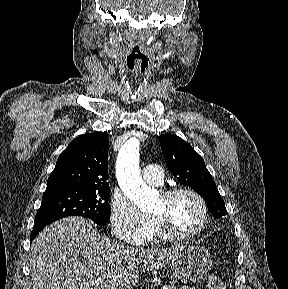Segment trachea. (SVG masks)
I'll return each instance as SVG.
<instances>
[{
    "label": "trachea",
    "instance_id": "obj_1",
    "mask_svg": "<svg viewBox=\"0 0 288 289\" xmlns=\"http://www.w3.org/2000/svg\"><path fill=\"white\" fill-rule=\"evenodd\" d=\"M148 62V57L138 48H134L127 57L128 67L136 72L144 71Z\"/></svg>",
    "mask_w": 288,
    "mask_h": 289
}]
</instances>
